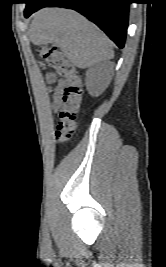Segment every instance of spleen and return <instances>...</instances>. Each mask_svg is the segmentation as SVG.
Instances as JSON below:
<instances>
[{
	"instance_id": "1",
	"label": "spleen",
	"mask_w": 166,
	"mask_h": 267,
	"mask_svg": "<svg viewBox=\"0 0 166 267\" xmlns=\"http://www.w3.org/2000/svg\"><path fill=\"white\" fill-rule=\"evenodd\" d=\"M32 36L38 44L58 43L67 57L79 67H90L113 57L109 39L79 13L65 8H46L32 23Z\"/></svg>"
}]
</instances>
